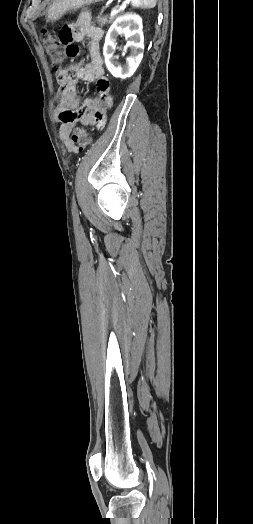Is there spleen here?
Instances as JSON below:
<instances>
[{
	"label": "spleen",
	"instance_id": "spleen-1",
	"mask_svg": "<svg viewBox=\"0 0 253 524\" xmlns=\"http://www.w3.org/2000/svg\"><path fill=\"white\" fill-rule=\"evenodd\" d=\"M134 7L153 8L156 5V0H130Z\"/></svg>",
	"mask_w": 253,
	"mask_h": 524
}]
</instances>
